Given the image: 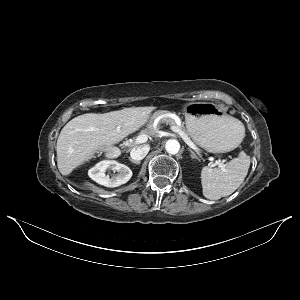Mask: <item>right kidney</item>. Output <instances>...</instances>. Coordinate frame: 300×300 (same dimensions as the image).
Masks as SVG:
<instances>
[{
  "instance_id": "obj_1",
  "label": "right kidney",
  "mask_w": 300,
  "mask_h": 300,
  "mask_svg": "<svg viewBox=\"0 0 300 300\" xmlns=\"http://www.w3.org/2000/svg\"><path fill=\"white\" fill-rule=\"evenodd\" d=\"M107 170H112L114 173H117L110 177L106 174ZM88 175L98 184L112 188L128 182L132 177V171L128 166L120 164L115 160H104L91 168L88 171Z\"/></svg>"
}]
</instances>
